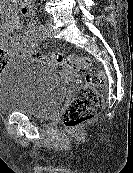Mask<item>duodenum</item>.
Here are the masks:
<instances>
[{"mask_svg": "<svg viewBox=\"0 0 133 173\" xmlns=\"http://www.w3.org/2000/svg\"><path fill=\"white\" fill-rule=\"evenodd\" d=\"M21 6L25 11H29L30 9V0H21Z\"/></svg>", "mask_w": 133, "mask_h": 173, "instance_id": "duodenum-1", "label": "duodenum"}]
</instances>
